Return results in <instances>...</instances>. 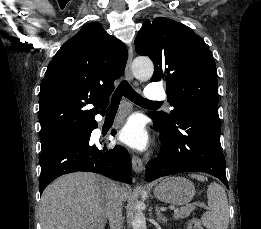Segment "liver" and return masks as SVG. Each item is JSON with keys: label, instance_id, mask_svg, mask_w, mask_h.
<instances>
[{"label": "liver", "instance_id": "6515ba94", "mask_svg": "<svg viewBox=\"0 0 261 229\" xmlns=\"http://www.w3.org/2000/svg\"><path fill=\"white\" fill-rule=\"evenodd\" d=\"M114 183L96 173H70L49 185L40 201L41 229H104ZM129 199L128 187L119 191Z\"/></svg>", "mask_w": 261, "mask_h": 229}]
</instances>
